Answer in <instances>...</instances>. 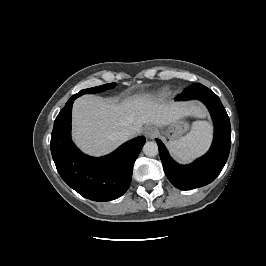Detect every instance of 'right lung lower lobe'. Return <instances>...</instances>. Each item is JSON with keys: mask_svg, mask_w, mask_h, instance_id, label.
Returning a JSON list of instances; mask_svg holds the SVG:
<instances>
[{"mask_svg": "<svg viewBox=\"0 0 266 266\" xmlns=\"http://www.w3.org/2000/svg\"><path fill=\"white\" fill-rule=\"evenodd\" d=\"M71 97L54 121L51 153L61 178L76 192L93 201H110L122 196L129 188L134 162L144 137L134 138L113 153L100 157L83 154L71 140Z\"/></svg>", "mask_w": 266, "mask_h": 266, "instance_id": "1", "label": "right lung lower lobe"}]
</instances>
